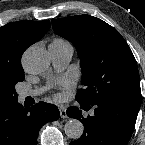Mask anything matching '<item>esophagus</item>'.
Returning <instances> with one entry per match:
<instances>
[{
  "label": "esophagus",
  "instance_id": "esophagus-1",
  "mask_svg": "<svg viewBox=\"0 0 145 145\" xmlns=\"http://www.w3.org/2000/svg\"><path fill=\"white\" fill-rule=\"evenodd\" d=\"M59 111H60L61 118H66L67 117L66 108L64 106H59Z\"/></svg>",
  "mask_w": 145,
  "mask_h": 145
}]
</instances>
